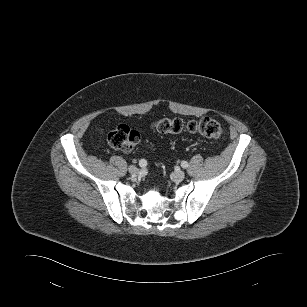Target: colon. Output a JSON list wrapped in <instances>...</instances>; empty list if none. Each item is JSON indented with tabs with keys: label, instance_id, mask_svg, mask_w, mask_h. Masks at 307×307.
<instances>
[{
	"label": "colon",
	"instance_id": "obj_1",
	"mask_svg": "<svg viewBox=\"0 0 307 307\" xmlns=\"http://www.w3.org/2000/svg\"><path fill=\"white\" fill-rule=\"evenodd\" d=\"M154 128L162 134L188 132L215 140H219L223 136V129L219 122L209 117L189 122H184L179 118H163L154 123ZM140 140V133L124 124L111 131L107 137L110 147L124 152L132 151L139 144Z\"/></svg>",
	"mask_w": 307,
	"mask_h": 307
}]
</instances>
